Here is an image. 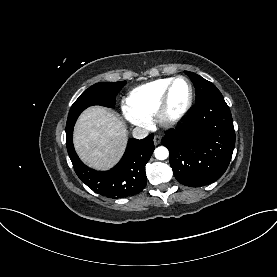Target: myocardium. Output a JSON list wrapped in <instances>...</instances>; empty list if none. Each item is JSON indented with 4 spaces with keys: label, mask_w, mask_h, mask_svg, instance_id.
<instances>
[{
    "label": "myocardium",
    "mask_w": 277,
    "mask_h": 277,
    "mask_svg": "<svg viewBox=\"0 0 277 277\" xmlns=\"http://www.w3.org/2000/svg\"><path fill=\"white\" fill-rule=\"evenodd\" d=\"M179 80H183L188 84L189 97H188L186 104L180 110V112H178L176 115L171 116L168 113L171 92H172L174 85ZM193 100H194V88H193L192 82L185 76H177V77L173 78L172 81L166 87V89L161 97V100L159 102V105L157 107L155 115H156L158 122L165 127H172V126L179 124L186 117L188 112L190 111L192 104H193Z\"/></svg>",
    "instance_id": "f54148a6"
}]
</instances>
